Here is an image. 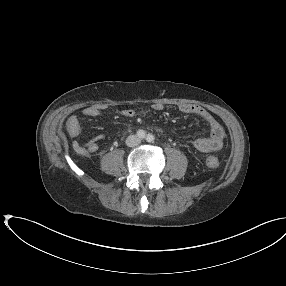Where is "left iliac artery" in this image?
<instances>
[{
	"label": "left iliac artery",
	"mask_w": 286,
	"mask_h": 286,
	"mask_svg": "<svg viewBox=\"0 0 286 286\" xmlns=\"http://www.w3.org/2000/svg\"><path fill=\"white\" fill-rule=\"evenodd\" d=\"M155 139L154 135L153 134H148L147 137H146V140L147 142H153Z\"/></svg>",
	"instance_id": "1"
}]
</instances>
